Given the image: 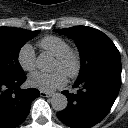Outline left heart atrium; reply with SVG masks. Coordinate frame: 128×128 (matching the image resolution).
Here are the masks:
<instances>
[{
    "instance_id": "left-heart-atrium-1",
    "label": "left heart atrium",
    "mask_w": 128,
    "mask_h": 128,
    "mask_svg": "<svg viewBox=\"0 0 128 128\" xmlns=\"http://www.w3.org/2000/svg\"><path fill=\"white\" fill-rule=\"evenodd\" d=\"M66 83V74L61 70L53 73L36 72L30 75L29 84L45 92L53 91Z\"/></svg>"
}]
</instances>
